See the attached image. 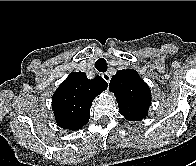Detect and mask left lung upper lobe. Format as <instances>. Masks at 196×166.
<instances>
[{
	"label": "left lung upper lobe",
	"mask_w": 196,
	"mask_h": 166,
	"mask_svg": "<svg viewBox=\"0 0 196 166\" xmlns=\"http://www.w3.org/2000/svg\"><path fill=\"white\" fill-rule=\"evenodd\" d=\"M109 89L116 95L119 112L125 119L139 121L147 116L151 105V91L137 71H117L111 78Z\"/></svg>",
	"instance_id": "left-lung-upper-lobe-1"
}]
</instances>
